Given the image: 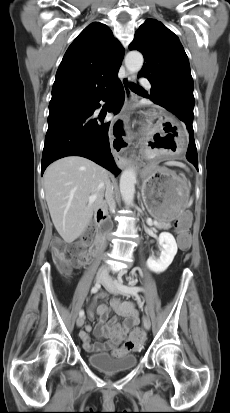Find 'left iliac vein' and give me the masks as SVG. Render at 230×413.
<instances>
[{
    "label": "left iliac vein",
    "mask_w": 230,
    "mask_h": 413,
    "mask_svg": "<svg viewBox=\"0 0 230 413\" xmlns=\"http://www.w3.org/2000/svg\"><path fill=\"white\" fill-rule=\"evenodd\" d=\"M102 284L105 287V289L112 294L121 293L119 289L117 288L116 283L109 276L106 277V279L102 282ZM143 326L146 330H149L151 327V321L147 315L143 319Z\"/></svg>",
    "instance_id": "left-iliac-vein-1"
}]
</instances>
